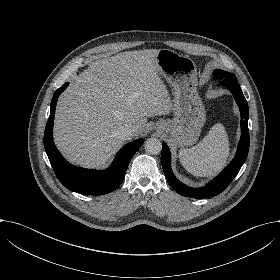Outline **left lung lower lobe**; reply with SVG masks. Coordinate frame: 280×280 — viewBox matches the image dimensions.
<instances>
[{"instance_id": "obj_1", "label": "left lung lower lobe", "mask_w": 280, "mask_h": 280, "mask_svg": "<svg viewBox=\"0 0 280 280\" xmlns=\"http://www.w3.org/2000/svg\"><path fill=\"white\" fill-rule=\"evenodd\" d=\"M221 85L226 86L232 92L241 112V139L238 145L237 153L231 163L211 182L208 186L200 189H193L181 183L173 175L170 166V152L166 144L162 146L161 163L168 183L180 194L192 198H207L221 193L234 179L241 166L245 162L249 151V130L248 103L241 91L237 79L234 81L230 78L221 80Z\"/></svg>"}]
</instances>
